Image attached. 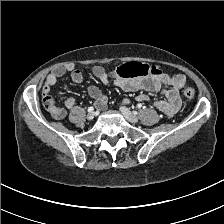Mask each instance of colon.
<instances>
[{
    "label": "colon",
    "mask_w": 224,
    "mask_h": 224,
    "mask_svg": "<svg viewBox=\"0 0 224 224\" xmlns=\"http://www.w3.org/2000/svg\"><path fill=\"white\" fill-rule=\"evenodd\" d=\"M160 72V69L156 65H147L143 63H129L124 66H122L116 73L117 76L121 78H134V77H146L149 75L158 74ZM180 89L183 94V96L191 100L195 96V90L191 86L187 85L185 81H181ZM44 103L47 107L49 106H55V103L52 98L45 97Z\"/></svg>",
    "instance_id": "5ec220e1"
}]
</instances>
